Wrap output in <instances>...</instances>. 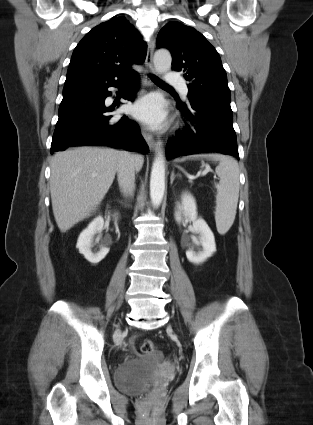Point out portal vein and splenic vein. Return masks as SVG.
Instances as JSON below:
<instances>
[{"label":"portal vein and splenic vein","mask_w":313,"mask_h":425,"mask_svg":"<svg viewBox=\"0 0 313 425\" xmlns=\"http://www.w3.org/2000/svg\"><path fill=\"white\" fill-rule=\"evenodd\" d=\"M208 172H209V171H208L207 169H205L204 171L199 172V175H201V176H205ZM187 177H188L189 179H193V177H192V176H190V175H187Z\"/></svg>","instance_id":"18ae733b"}]
</instances>
